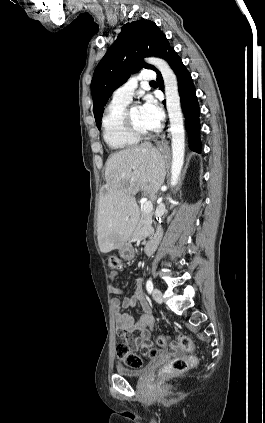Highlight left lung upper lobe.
Listing matches in <instances>:
<instances>
[{
  "instance_id": "1",
  "label": "left lung upper lobe",
  "mask_w": 265,
  "mask_h": 423,
  "mask_svg": "<svg viewBox=\"0 0 265 423\" xmlns=\"http://www.w3.org/2000/svg\"><path fill=\"white\" fill-rule=\"evenodd\" d=\"M168 47L166 36L150 20L141 19L121 28L116 41L96 67L91 82L93 112L98 129L101 128L104 106L113 91L142 67L157 71L153 66L145 64L142 58H164Z\"/></svg>"
}]
</instances>
